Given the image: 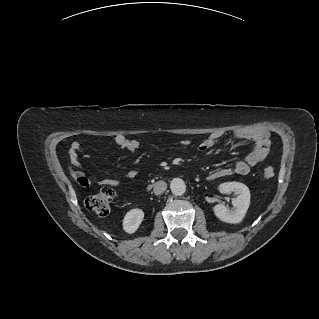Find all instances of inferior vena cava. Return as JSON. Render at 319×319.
Segmentation results:
<instances>
[{
    "label": "inferior vena cava",
    "mask_w": 319,
    "mask_h": 319,
    "mask_svg": "<svg viewBox=\"0 0 319 319\" xmlns=\"http://www.w3.org/2000/svg\"><path fill=\"white\" fill-rule=\"evenodd\" d=\"M166 188H167L166 182L158 181L155 183L153 191H154L155 195H161L162 193H164Z\"/></svg>",
    "instance_id": "1"
}]
</instances>
